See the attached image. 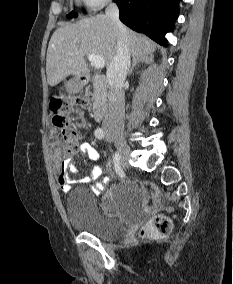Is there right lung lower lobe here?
Instances as JSON below:
<instances>
[{"label": "right lung lower lobe", "instance_id": "1", "mask_svg": "<svg viewBox=\"0 0 233 284\" xmlns=\"http://www.w3.org/2000/svg\"><path fill=\"white\" fill-rule=\"evenodd\" d=\"M120 10V20L133 30L143 32L163 46L165 34L177 19L179 0H114Z\"/></svg>", "mask_w": 233, "mask_h": 284}]
</instances>
